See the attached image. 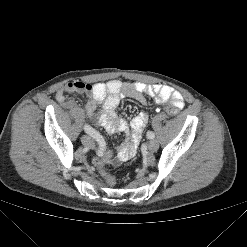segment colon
Wrapping results in <instances>:
<instances>
[{
  "instance_id": "1",
  "label": "colon",
  "mask_w": 247,
  "mask_h": 247,
  "mask_svg": "<svg viewBox=\"0 0 247 247\" xmlns=\"http://www.w3.org/2000/svg\"><path fill=\"white\" fill-rule=\"evenodd\" d=\"M165 111L170 116H176L178 114L177 108L173 106H167ZM94 164L109 185L112 186L116 183L115 178L106 170L105 163L101 159L95 160Z\"/></svg>"
}]
</instances>
